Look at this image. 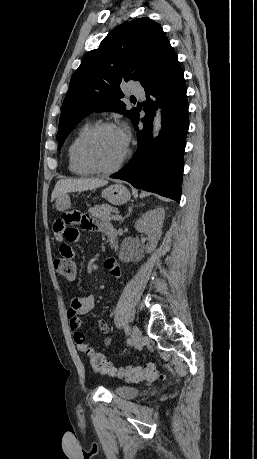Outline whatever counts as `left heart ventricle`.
I'll list each match as a JSON object with an SVG mask.
<instances>
[{"mask_svg": "<svg viewBox=\"0 0 257 459\" xmlns=\"http://www.w3.org/2000/svg\"><path fill=\"white\" fill-rule=\"evenodd\" d=\"M125 150L119 129H106L91 141L88 155L98 165L109 167L122 157Z\"/></svg>", "mask_w": 257, "mask_h": 459, "instance_id": "1", "label": "left heart ventricle"}]
</instances>
